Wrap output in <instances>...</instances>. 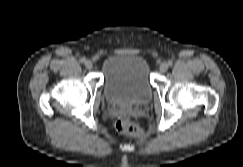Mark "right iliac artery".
<instances>
[{
	"label": "right iliac artery",
	"mask_w": 243,
	"mask_h": 167,
	"mask_svg": "<svg viewBox=\"0 0 243 167\" xmlns=\"http://www.w3.org/2000/svg\"><path fill=\"white\" fill-rule=\"evenodd\" d=\"M80 62H81V63L86 62V58H85V57H82V58L80 59Z\"/></svg>",
	"instance_id": "1"
}]
</instances>
